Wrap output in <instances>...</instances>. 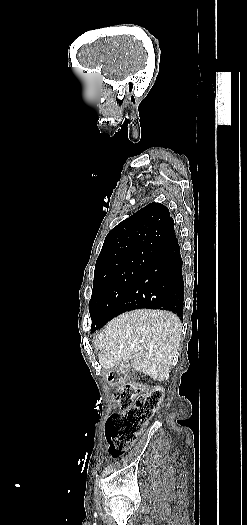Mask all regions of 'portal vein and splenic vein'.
<instances>
[{"label": "portal vein and splenic vein", "instance_id": "obj_1", "mask_svg": "<svg viewBox=\"0 0 247 525\" xmlns=\"http://www.w3.org/2000/svg\"><path fill=\"white\" fill-rule=\"evenodd\" d=\"M131 346H135V343H131Z\"/></svg>", "mask_w": 247, "mask_h": 525}]
</instances>
